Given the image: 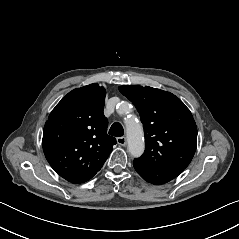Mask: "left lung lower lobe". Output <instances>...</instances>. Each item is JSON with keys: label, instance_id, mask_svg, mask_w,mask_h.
Segmentation results:
<instances>
[{"label": "left lung lower lobe", "instance_id": "left-lung-lower-lobe-1", "mask_svg": "<svg viewBox=\"0 0 239 239\" xmlns=\"http://www.w3.org/2000/svg\"><path fill=\"white\" fill-rule=\"evenodd\" d=\"M133 166L137 173L147 182L159 185L169 182L180 175L184 169L181 168H165L152 167L133 162Z\"/></svg>", "mask_w": 239, "mask_h": 239}]
</instances>
